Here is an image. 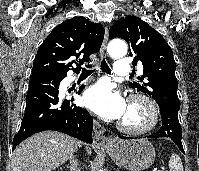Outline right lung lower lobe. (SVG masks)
Instances as JSON below:
<instances>
[{"mask_svg":"<svg viewBox=\"0 0 199 171\" xmlns=\"http://www.w3.org/2000/svg\"><path fill=\"white\" fill-rule=\"evenodd\" d=\"M65 77L54 74L31 76L25 114L20 130L13 139V148L29 136L45 130L66 133L87 143L93 142L92 117L88 111L69 100L59 99V85Z\"/></svg>","mask_w":199,"mask_h":171,"instance_id":"98d812e1","label":"right lung lower lobe"}]
</instances>
